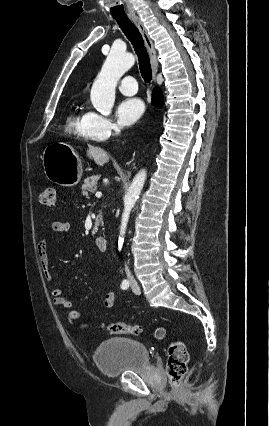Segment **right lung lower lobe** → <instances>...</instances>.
Masks as SVG:
<instances>
[{
    "label": "right lung lower lobe",
    "instance_id": "1",
    "mask_svg": "<svg viewBox=\"0 0 269 426\" xmlns=\"http://www.w3.org/2000/svg\"><path fill=\"white\" fill-rule=\"evenodd\" d=\"M152 104L156 107H161L163 104V95L159 88H154L153 90Z\"/></svg>",
    "mask_w": 269,
    "mask_h": 426
}]
</instances>
